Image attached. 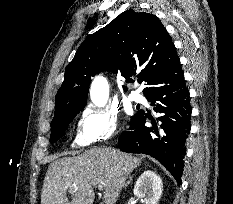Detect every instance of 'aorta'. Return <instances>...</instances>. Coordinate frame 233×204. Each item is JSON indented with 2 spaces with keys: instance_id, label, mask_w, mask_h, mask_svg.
<instances>
[{
  "instance_id": "1",
  "label": "aorta",
  "mask_w": 233,
  "mask_h": 204,
  "mask_svg": "<svg viewBox=\"0 0 233 204\" xmlns=\"http://www.w3.org/2000/svg\"><path fill=\"white\" fill-rule=\"evenodd\" d=\"M91 101L98 107H103L109 98V85L103 76L94 78L90 87Z\"/></svg>"
}]
</instances>
